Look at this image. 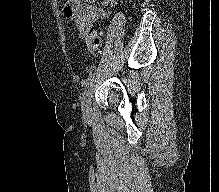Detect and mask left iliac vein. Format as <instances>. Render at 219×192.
Returning a JSON list of instances; mask_svg holds the SVG:
<instances>
[{
    "instance_id": "4c4485c4",
    "label": "left iliac vein",
    "mask_w": 219,
    "mask_h": 192,
    "mask_svg": "<svg viewBox=\"0 0 219 192\" xmlns=\"http://www.w3.org/2000/svg\"><path fill=\"white\" fill-rule=\"evenodd\" d=\"M81 111L84 118H88L91 114V96L87 93L81 101Z\"/></svg>"
}]
</instances>
